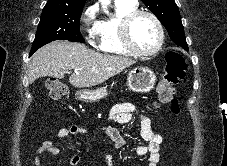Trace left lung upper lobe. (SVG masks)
<instances>
[{
  "mask_svg": "<svg viewBox=\"0 0 227 166\" xmlns=\"http://www.w3.org/2000/svg\"><path fill=\"white\" fill-rule=\"evenodd\" d=\"M167 29L170 38L188 50L181 16L174 0H142Z\"/></svg>",
  "mask_w": 227,
  "mask_h": 166,
  "instance_id": "obj_1",
  "label": "left lung upper lobe"
}]
</instances>
